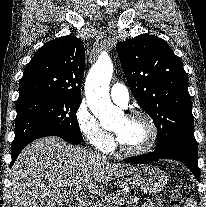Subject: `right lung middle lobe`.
<instances>
[{
  "label": "right lung middle lobe",
  "mask_w": 206,
  "mask_h": 207,
  "mask_svg": "<svg viewBox=\"0 0 206 207\" xmlns=\"http://www.w3.org/2000/svg\"><path fill=\"white\" fill-rule=\"evenodd\" d=\"M80 103L81 99L52 95L17 100L12 148L44 133H57L78 142L83 141L76 117Z\"/></svg>",
  "instance_id": "right-lung-middle-lobe-1"
}]
</instances>
